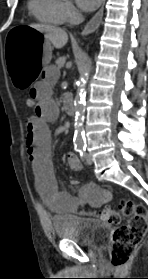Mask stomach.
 <instances>
[{
    "mask_svg": "<svg viewBox=\"0 0 148 279\" xmlns=\"http://www.w3.org/2000/svg\"><path fill=\"white\" fill-rule=\"evenodd\" d=\"M9 59L7 79H13L14 91H31L34 79L39 78L51 59V45L44 34L35 30L34 25H11L3 40Z\"/></svg>",
    "mask_w": 148,
    "mask_h": 279,
    "instance_id": "0dacf381",
    "label": "stomach"
}]
</instances>
